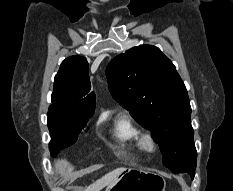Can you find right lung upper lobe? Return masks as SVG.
Segmentation results:
<instances>
[{
    "mask_svg": "<svg viewBox=\"0 0 233 191\" xmlns=\"http://www.w3.org/2000/svg\"><path fill=\"white\" fill-rule=\"evenodd\" d=\"M90 89L86 58L78 55L68 57L55 76L50 107L74 113L94 112L95 94Z\"/></svg>",
    "mask_w": 233,
    "mask_h": 191,
    "instance_id": "cb5924a9",
    "label": "right lung upper lobe"
}]
</instances>
